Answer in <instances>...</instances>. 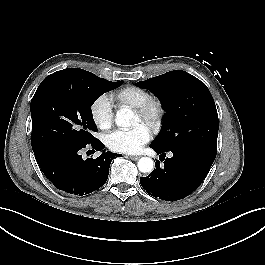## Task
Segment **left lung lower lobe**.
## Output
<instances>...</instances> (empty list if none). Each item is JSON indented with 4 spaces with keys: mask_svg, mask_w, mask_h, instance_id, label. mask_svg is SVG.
I'll list each match as a JSON object with an SVG mask.
<instances>
[{
    "mask_svg": "<svg viewBox=\"0 0 265 265\" xmlns=\"http://www.w3.org/2000/svg\"><path fill=\"white\" fill-rule=\"evenodd\" d=\"M161 154L164 167L156 161V169L140 183L148 194L167 201L180 200L195 191L207 176L215 157L194 148H177L163 151L151 147ZM171 152V158H165Z\"/></svg>",
    "mask_w": 265,
    "mask_h": 265,
    "instance_id": "obj_1",
    "label": "left lung lower lobe"
}]
</instances>
